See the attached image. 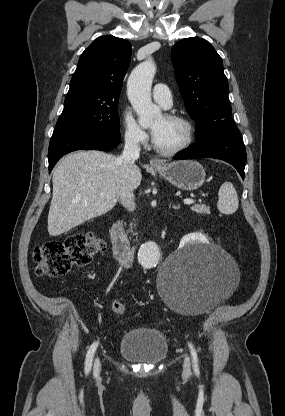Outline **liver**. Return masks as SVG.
<instances>
[{
  "instance_id": "6515ba94",
  "label": "liver",
  "mask_w": 285,
  "mask_h": 416,
  "mask_svg": "<svg viewBox=\"0 0 285 416\" xmlns=\"http://www.w3.org/2000/svg\"><path fill=\"white\" fill-rule=\"evenodd\" d=\"M123 180L130 190H136L142 180L138 166H132L123 178L117 158L111 154L79 150L66 156L52 178L50 236H61L87 220L110 212L119 200Z\"/></svg>"
}]
</instances>
